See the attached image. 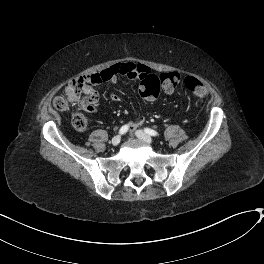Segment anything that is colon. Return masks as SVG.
<instances>
[{"label": "colon", "mask_w": 264, "mask_h": 264, "mask_svg": "<svg viewBox=\"0 0 264 264\" xmlns=\"http://www.w3.org/2000/svg\"><path fill=\"white\" fill-rule=\"evenodd\" d=\"M118 74H126L127 70L124 66H115ZM180 77L177 72H165L159 76L150 75L144 79L139 87V94L144 99L155 98L161 89L171 92L179 84ZM186 87L192 94L203 99L207 96V88L203 83L193 76L185 78ZM98 100V92L92 86L91 82L84 78H77L66 84L63 95L54 97L53 106L57 110H66L70 106L77 108V112L73 116V124L79 130L88 127V114L94 109Z\"/></svg>", "instance_id": "1"}]
</instances>
